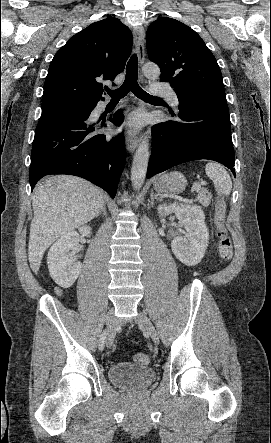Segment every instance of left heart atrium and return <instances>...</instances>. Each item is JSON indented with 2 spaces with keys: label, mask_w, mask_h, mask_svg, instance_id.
<instances>
[{
  "label": "left heart atrium",
  "mask_w": 271,
  "mask_h": 443,
  "mask_svg": "<svg viewBox=\"0 0 271 443\" xmlns=\"http://www.w3.org/2000/svg\"><path fill=\"white\" fill-rule=\"evenodd\" d=\"M144 122L145 119L141 113H133L123 123L121 131L129 135H135L139 132Z\"/></svg>",
  "instance_id": "1"
}]
</instances>
